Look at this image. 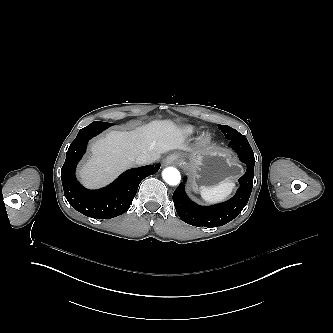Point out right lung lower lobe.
Returning <instances> with one entry per match:
<instances>
[{
  "label": "right lung lower lobe",
  "mask_w": 333,
  "mask_h": 333,
  "mask_svg": "<svg viewBox=\"0 0 333 333\" xmlns=\"http://www.w3.org/2000/svg\"><path fill=\"white\" fill-rule=\"evenodd\" d=\"M112 125V123L94 121L82 128L70 144L61 170L66 199L74 209L88 217L105 219L126 212L137 193L139 183L160 168V164H156L130 169L113 183L99 190H88L82 187L76 180L75 169L85 153L87 142Z\"/></svg>",
  "instance_id": "1"
}]
</instances>
